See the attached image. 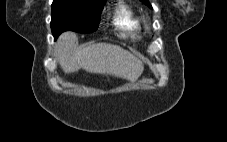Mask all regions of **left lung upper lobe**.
I'll list each match as a JSON object with an SVG mask.
<instances>
[{
  "label": "left lung upper lobe",
  "mask_w": 227,
  "mask_h": 142,
  "mask_svg": "<svg viewBox=\"0 0 227 142\" xmlns=\"http://www.w3.org/2000/svg\"><path fill=\"white\" fill-rule=\"evenodd\" d=\"M143 3H145L147 6L151 7V5L149 4L148 0H141Z\"/></svg>",
  "instance_id": "obj_1"
}]
</instances>
